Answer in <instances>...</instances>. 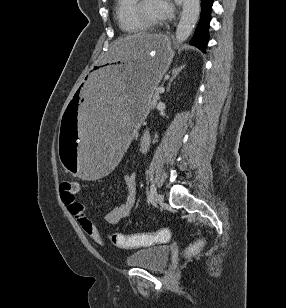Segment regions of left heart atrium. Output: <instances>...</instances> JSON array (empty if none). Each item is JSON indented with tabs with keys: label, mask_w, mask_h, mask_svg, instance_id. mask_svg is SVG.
Returning <instances> with one entry per match:
<instances>
[{
	"label": "left heart atrium",
	"mask_w": 286,
	"mask_h": 308,
	"mask_svg": "<svg viewBox=\"0 0 286 308\" xmlns=\"http://www.w3.org/2000/svg\"><path fill=\"white\" fill-rule=\"evenodd\" d=\"M161 6V12L164 18L169 17L172 12V6L169 0H158Z\"/></svg>",
	"instance_id": "1"
}]
</instances>
